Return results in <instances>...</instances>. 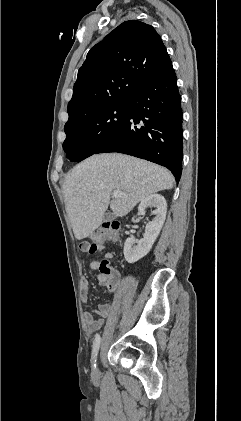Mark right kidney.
I'll return each instance as SVG.
<instances>
[{"mask_svg": "<svg viewBox=\"0 0 241 421\" xmlns=\"http://www.w3.org/2000/svg\"><path fill=\"white\" fill-rule=\"evenodd\" d=\"M148 207L155 208V218L146 224L144 238L139 240L131 236L124 243V257L128 263H135L149 253L164 224L167 212L165 198L160 194L146 197L138 206V215L145 214Z\"/></svg>", "mask_w": 241, "mask_h": 421, "instance_id": "right-kidney-1", "label": "right kidney"}]
</instances>
